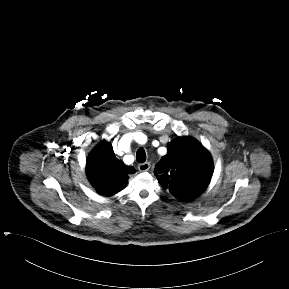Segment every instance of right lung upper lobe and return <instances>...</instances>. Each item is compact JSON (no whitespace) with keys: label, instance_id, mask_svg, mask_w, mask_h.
<instances>
[{"label":"right lung upper lobe","instance_id":"1","mask_svg":"<svg viewBox=\"0 0 289 289\" xmlns=\"http://www.w3.org/2000/svg\"><path fill=\"white\" fill-rule=\"evenodd\" d=\"M91 184L102 195L111 196L126 187L133 167L126 166L115 157L110 143L103 141L89 155L86 164Z\"/></svg>","mask_w":289,"mask_h":289}]
</instances>
